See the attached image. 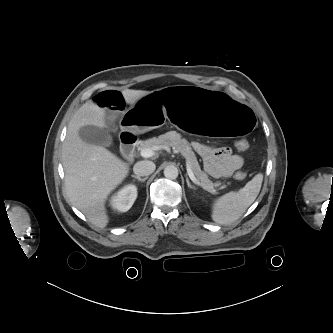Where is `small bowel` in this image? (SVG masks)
Listing matches in <instances>:
<instances>
[{
  "label": "small bowel",
  "instance_id": "obj_1",
  "mask_svg": "<svg viewBox=\"0 0 333 333\" xmlns=\"http://www.w3.org/2000/svg\"><path fill=\"white\" fill-rule=\"evenodd\" d=\"M93 104L106 110L108 121H113L125 110L126 100L121 92L106 90L93 98ZM193 148L203 159L204 168L212 177H229L243 165V158L233 154L227 147L194 142Z\"/></svg>",
  "mask_w": 333,
  "mask_h": 333
}]
</instances>
